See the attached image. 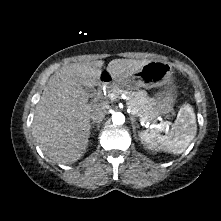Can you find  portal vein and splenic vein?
Wrapping results in <instances>:
<instances>
[{
	"label": "portal vein and splenic vein",
	"instance_id": "obj_1",
	"mask_svg": "<svg viewBox=\"0 0 221 221\" xmlns=\"http://www.w3.org/2000/svg\"><path fill=\"white\" fill-rule=\"evenodd\" d=\"M112 97H113V96H112ZM142 122H143V121H142ZM168 124H169V122L166 121V122H162L160 125H157L156 127H157V128H161L162 126L167 127Z\"/></svg>",
	"mask_w": 221,
	"mask_h": 221
}]
</instances>
